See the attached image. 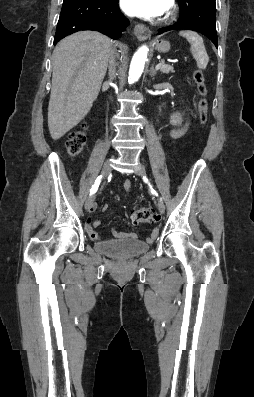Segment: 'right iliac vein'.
<instances>
[{
  "instance_id": "63e3f726",
  "label": "right iliac vein",
  "mask_w": 254,
  "mask_h": 397,
  "mask_svg": "<svg viewBox=\"0 0 254 397\" xmlns=\"http://www.w3.org/2000/svg\"><path fill=\"white\" fill-rule=\"evenodd\" d=\"M110 172H111V161L108 160L104 163L103 168H102L103 177L104 178L107 177ZM94 200H95V194H92L85 202L86 210H88L92 206Z\"/></svg>"
}]
</instances>
